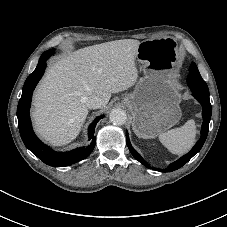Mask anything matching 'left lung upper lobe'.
Returning <instances> with one entry per match:
<instances>
[{"label": "left lung upper lobe", "mask_w": 227, "mask_h": 227, "mask_svg": "<svg viewBox=\"0 0 227 227\" xmlns=\"http://www.w3.org/2000/svg\"><path fill=\"white\" fill-rule=\"evenodd\" d=\"M189 72L190 73L187 78V84L190 87V89L198 90L204 94L209 95L208 86L202 79L195 63H192V65L189 68Z\"/></svg>", "instance_id": "obj_1"}]
</instances>
